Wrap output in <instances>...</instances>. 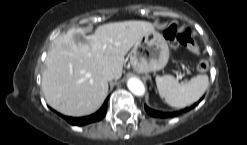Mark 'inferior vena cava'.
Segmentation results:
<instances>
[{"instance_id": "602c4592", "label": "inferior vena cava", "mask_w": 247, "mask_h": 145, "mask_svg": "<svg viewBox=\"0 0 247 145\" xmlns=\"http://www.w3.org/2000/svg\"><path fill=\"white\" fill-rule=\"evenodd\" d=\"M102 75H103V77H104L106 80H108V81L114 79V74H113V72H112L110 69H108V68H105V69L102 71Z\"/></svg>"}]
</instances>
